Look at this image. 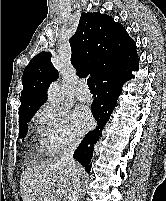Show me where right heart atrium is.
Here are the masks:
<instances>
[{"instance_id": "d8ad5b80", "label": "right heart atrium", "mask_w": 166, "mask_h": 201, "mask_svg": "<svg viewBox=\"0 0 166 201\" xmlns=\"http://www.w3.org/2000/svg\"><path fill=\"white\" fill-rule=\"evenodd\" d=\"M40 144L54 155L79 143L67 112L55 105H43L36 113Z\"/></svg>"}]
</instances>
